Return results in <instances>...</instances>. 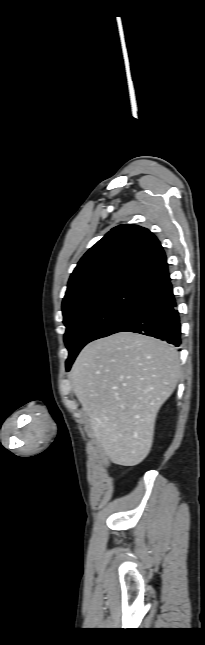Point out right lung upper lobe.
Returning <instances> with one entry per match:
<instances>
[{
  "label": "right lung upper lobe",
  "instance_id": "right-lung-upper-lobe-1",
  "mask_svg": "<svg viewBox=\"0 0 205 645\" xmlns=\"http://www.w3.org/2000/svg\"><path fill=\"white\" fill-rule=\"evenodd\" d=\"M168 273L165 252L148 229L119 225L79 261L68 282L62 308L122 285L148 287Z\"/></svg>",
  "mask_w": 205,
  "mask_h": 645
}]
</instances>
